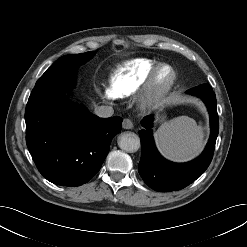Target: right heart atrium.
<instances>
[{"label":"right heart atrium","mask_w":247,"mask_h":247,"mask_svg":"<svg viewBox=\"0 0 247 247\" xmlns=\"http://www.w3.org/2000/svg\"><path fill=\"white\" fill-rule=\"evenodd\" d=\"M104 97L111 102L115 101V99L117 98V96L113 93L111 89L104 90Z\"/></svg>","instance_id":"right-heart-atrium-1"}]
</instances>
